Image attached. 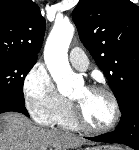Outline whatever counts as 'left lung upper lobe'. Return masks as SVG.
<instances>
[{"mask_svg":"<svg viewBox=\"0 0 139 150\" xmlns=\"http://www.w3.org/2000/svg\"><path fill=\"white\" fill-rule=\"evenodd\" d=\"M72 18L121 109L139 91V7L130 0H80Z\"/></svg>","mask_w":139,"mask_h":150,"instance_id":"left-lung-upper-lobe-1","label":"left lung upper lobe"}]
</instances>
